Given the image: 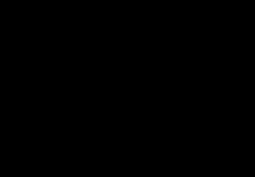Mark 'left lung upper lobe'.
Here are the masks:
<instances>
[{
    "instance_id": "1",
    "label": "left lung upper lobe",
    "mask_w": 255,
    "mask_h": 177,
    "mask_svg": "<svg viewBox=\"0 0 255 177\" xmlns=\"http://www.w3.org/2000/svg\"><path fill=\"white\" fill-rule=\"evenodd\" d=\"M151 42L161 68H165L168 60L175 55L174 48L169 41L162 38H154ZM157 86L163 116L172 119L178 114L180 108V91L173 84L170 77L164 75V73L159 80L157 79Z\"/></svg>"
}]
</instances>
